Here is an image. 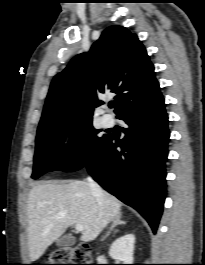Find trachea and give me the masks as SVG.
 <instances>
[{
    "label": "trachea",
    "mask_w": 205,
    "mask_h": 265,
    "mask_svg": "<svg viewBox=\"0 0 205 265\" xmlns=\"http://www.w3.org/2000/svg\"><path fill=\"white\" fill-rule=\"evenodd\" d=\"M109 107H110V108H113V107H114V103H110V104H109Z\"/></svg>",
    "instance_id": "3493384b"
}]
</instances>
